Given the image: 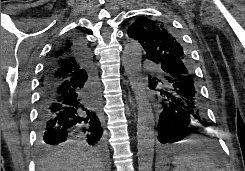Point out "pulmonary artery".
Returning a JSON list of instances; mask_svg holds the SVG:
<instances>
[{
    "mask_svg": "<svg viewBox=\"0 0 245 171\" xmlns=\"http://www.w3.org/2000/svg\"><path fill=\"white\" fill-rule=\"evenodd\" d=\"M144 67H145V68H151V64H150V62L145 61V63H144Z\"/></svg>",
    "mask_w": 245,
    "mask_h": 171,
    "instance_id": "1",
    "label": "pulmonary artery"
}]
</instances>
